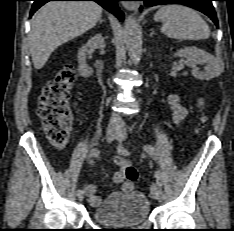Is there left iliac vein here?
I'll return each instance as SVG.
<instances>
[{"instance_id":"obj_1","label":"left iliac vein","mask_w":234,"mask_h":231,"mask_svg":"<svg viewBox=\"0 0 234 231\" xmlns=\"http://www.w3.org/2000/svg\"><path fill=\"white\" fill-rule=\"evenodd\" d=\"M125 139H126V133L123 132V131L120 132V134H119L117 140H118L119 142H122V141H124ZM151 197H152L153 199H155V200L158 199V185L155 184V183H153L152 186H151Z\"/></svg>"}]
</instances>
